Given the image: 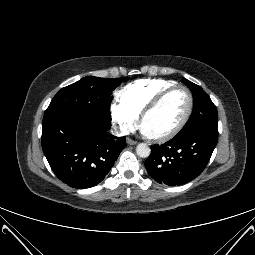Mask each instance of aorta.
<instances>
[{"label": "aorta", "mask_w": 255, "mask_h": 255, "mask_svg": "<svg viewBox=\"0 0 255 255\" xmlns=\"http://www.w3.org/2000/svg\"><path fill=\"white\" fill-rule=\"evenodd\" d=\"M136 153L141 158H147L151 153V149L149 146H147V144L140 143L136 147Z\"/></svg>", "instance_id": "obj_1"}]
</instances>
